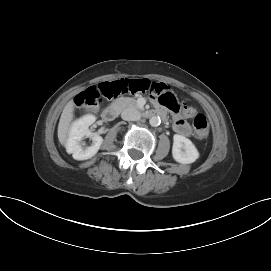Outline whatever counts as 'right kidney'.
<instances>
[{
    "label": "right kidney",
    "instance_id": "ca27d5eb",
    "mask_svg": "<svg viewBox=\"0 0 271 271\" xmlns=\"http://www.w3.org/2000/svg\"><path fill=\"white\" fill-rule=\"evenodd\" d=\"M96 120L94 115H85L82 118L73 122L69 137L66 143V151L72 154L76 160H87L92 158L100 149L103 143V138L97 133H93L89 130V126ZM84 137H90L92 139V145L86 147L82 143Z\"/></svg>",
    "mask_w": 271,
    "mask_h": 271
}]
</instances>
